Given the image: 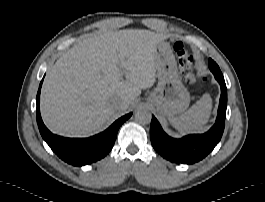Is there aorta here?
<instances>
[{
    "label": "aorta",
    "mask_w": 265,
    "mask_h": 202,
    "mask_svg": "<svg viewBox=\"0 0 265 202\" xmlns=\"http://www.w3.org/2000/svg\"><path fill=\"white\" fill-rule=\"evenodd\" d=\"M135 120L140 124H149L151 122L152 116L149 110L145 107H140L135 112Z\"/></svg>",
    "instance_id": "762f6f07"
}]
</instances>
